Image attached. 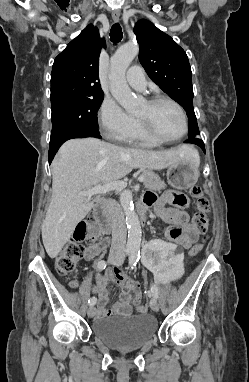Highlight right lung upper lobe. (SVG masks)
Here are the masks:
<instances>
[{"label": "right lung upper lobe", "instance_id": "right-lung-upper-lobe-1", "mask_svg": "<svg viewBox=\"0 0 249 382\" xmlns=\"http://www.w3.org/2000/svg\"><path fill=\"white\" fill-rule=\"evenodd\" d=\"M100 50L98 29L88 25L56 57L51 73V105L104 95L98 77Z\"/></svg>", "mask_w": 249, "mask_h": 382}]
</instances>
